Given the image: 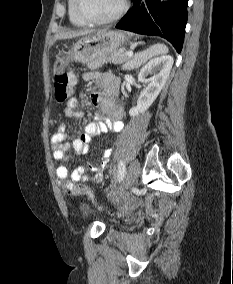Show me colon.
<instances>
[{
	"label": "colon",
	"mask_w": 233,
	"mask_h": 284,
	"mask_svg": "<svg viewBox=\"0 0 233 284\" xmlns=\"http://www.w3.org/2000/svg\"><path fill=\"white\" fill-rule=\"evenodd\" d=\"M167 52V48L163 44H156L151 47H149L147 50L140 52L136 54L131 61L128 63V67L136 68L144 63H146L148 60L164 55ZM76 85V76L71 71H65V70H58L55 78V85H54V94L55 99L58 103H63L66 100H68L71 95L73 94V91L75 89ZM70 193L84 196L92 201H95V195L93 191L86 185H79L74 187Z\"/></svg>",
	"instance_id": "1"
}]
</instances>
